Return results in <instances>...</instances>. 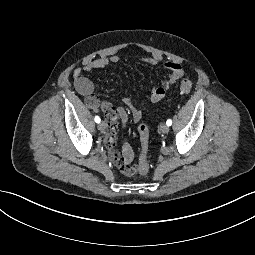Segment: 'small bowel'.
<instances>
[{
  "label": "small bowel",
  "instance_id": "small-bowel-1",
  "mask_svg": "<svg viewBox=\"0 0 255 255\" xmlns=\"http://www.w3.org/2000/svg\"><path fill=\"white\" fill-rule=\"evenodd\" d=\"M141 60L151 65H162L167 71V76L162 83L152 90L150 95V103L156 104L160 102L168 93L170 88L183 76L182 66L174 61L165 60L161 56H145ZM120 62V57L116 54L110 56H100L98 58L87 60L83 63V68L77 67L73 70L74 86L76 90L84 96L86 104L94 109L101 110L107 120L108 132L106 136V148L111 161L116 167L125 175H133L135 168L131 166L134 158L133 150L127 141H124L122 152L116 149V136L118 124L123 127L126 126L129 113L135 121L142 118L143 110L138 103L129 98L124 99L126 107H113L109 102L100 99L94 93V85L90 79L82 75V69L85 71H93L109 66L110 64H117ZM129 111V112H128Z\"/></svg>",
  "mask_w": 255,
  "mask_h": 255
}]
</instances>
